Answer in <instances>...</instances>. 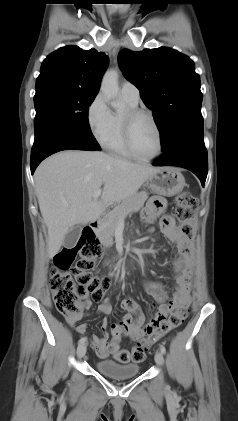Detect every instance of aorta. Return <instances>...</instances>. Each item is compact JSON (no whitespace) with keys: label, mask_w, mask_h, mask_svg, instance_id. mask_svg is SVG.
Here are the masks:
<instances>
[{"label":"aorta","mask_w":238,"mask_h":421,"mask_svg":"<svg viewBox=\"0 0 238 421\" xmlns=\"http://www.w3.org/2000/svg\"><path fill=\"white\" fill-rule=\"evenodd\" d=\"M100 90L107 99L111 100L112 107H122V104L116 101L119 92L118 72L116 70L111 69L105 72L102 78Z\"/></svg>","instance_id":"762f6f07"}]
</instances>
